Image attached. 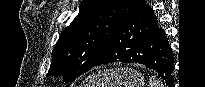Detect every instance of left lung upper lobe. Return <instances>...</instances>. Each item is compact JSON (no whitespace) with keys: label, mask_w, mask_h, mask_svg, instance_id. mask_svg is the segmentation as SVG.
<instances>
[{"label":"left lung upper lobe","mask_w":205,"mask_h":87,"mask_svg":"<svg viewBox=\"0 0 205 87\" xmlns=\"http://www.w3.org/2000/svg\"><path fill=\"white\" fill-rule=\"evenodd\" d=\"M136 1L83 0L54 47L48 76L70 82L94 67Z\"/></svg>","instance_id":"1"}]
</instances>
